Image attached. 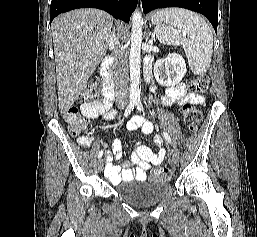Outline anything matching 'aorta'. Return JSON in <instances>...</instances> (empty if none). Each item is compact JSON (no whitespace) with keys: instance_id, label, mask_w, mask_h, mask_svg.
I'll return each instance as SVG.
<instances>
[{"instance_id":"762f6f07","label":"aorta","mask_w":257,"mask_h":237,"mask_svg":"<svg viewBox=\"0 0 257 237\" xmlns=\"http://www.w3.org/2000/svg\"><path fill=\"white\" fill-rule=\"evenodd\" d=\"M132 30L130 36V88L129 94L131 100L140 99V62H141V44H142V25L143 18L139 10H135L131 17Z\"/></svg>"}]
</instances>
